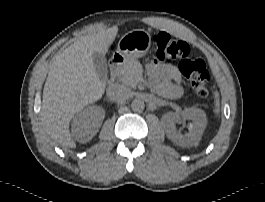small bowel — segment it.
Listing matches in <instances>:
<instances>
[{
    "mask_svg": "<svg viewBox=\"0 0 265 202\" xmlns=\"http://www.w3.org/2000/svg\"><path fill=\"white\" fill-rule=\"evenodd\" d=\"M147 69L152 79L164 78L175 87H178V83L181 80V73L175 65H165L157 62H151L147 65Z\"/></svg>",
    "mask_w": 265,
    "mask_h": 202,
    "instance_id": "obj_1",
    "label": "small bowel"
}]
</instances>
